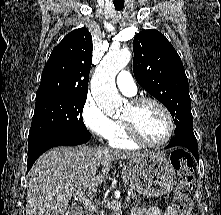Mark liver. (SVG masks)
I'll return each instance as SVG.
<instances>
[{"instance_id":"liver-1","label":"liver","mask_w":221,"mask_h":215,"mask_svg":"<svg viewBox=\"0 0 221 215\" xmlns=\"http://www.w3.org/2000/svg\"><path fill=\"white\" fill-rule=\"evenodd\" d=\"M144 155L88 146L47 151L27 176L26 215H69L71 198L85 190L95 193L98 185L106 180L114 160Z\"/></svg>"}]
</instances>
